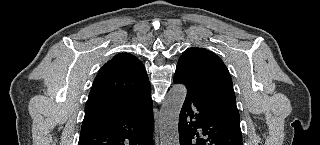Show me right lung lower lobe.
I'll use <instances>...</instances> for the list:
<instances>
[{
    "label": "right lung lower lobe",
    "mask_w": 320,
    "mask_h": 145,
    "mask_svg": "<svg viewBox=\"0 0 320 145\" xmlns=\"http://www.w3.org/2000/svg\"><path fill=\"white\" fill-rule=\"evenodd\" d=\"M151 91L121 114L82 124L78 145H153Z\"/></svg>",
    "instance_id": "obj_1"
}]
</instances>
